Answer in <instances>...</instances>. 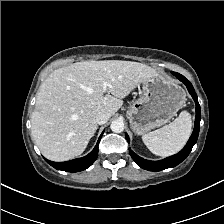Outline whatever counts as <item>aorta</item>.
<instances>
[{
	"label": "aorta",
	"mask_w": 224,
	"mask_h": 224,
	"mask_svg": "<svg viewBox=\"0 0 224 224\" xmlns=\"http://www.w3.org/2000/svg\"><path fill=\"white\" fill-rule=\"evenodd\" d=\"M110 128L115 133H121L124 130V122L120 119H116L111 122Z\"/></svg>",
	"instance_id": "obj_1"
}]
</instances>
